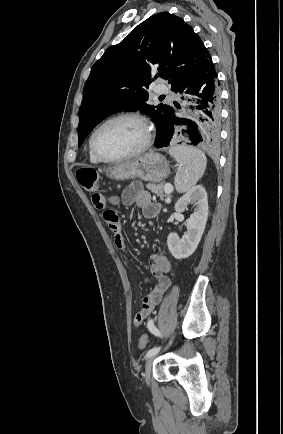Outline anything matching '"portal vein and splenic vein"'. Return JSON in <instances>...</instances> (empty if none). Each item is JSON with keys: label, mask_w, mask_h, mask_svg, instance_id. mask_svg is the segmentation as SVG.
<instances>
[{"label": "portal vein and splenic vein", "mask_w": 283, "mask_h": 434, "mask_svg": "<svg viewBox=\"0 0 283 434\" xmlns=\"http://www.w3.org/2000/svg\"><path fill=\"white\" fill-rule=\"evenodd\" d=\"M172 190H173V187L171 184H165V186H164L165 193L169 194L172 192ZM166 202H169V201L167 200Z\"/></svg>", "instance_id": "1"}]
</instances>
